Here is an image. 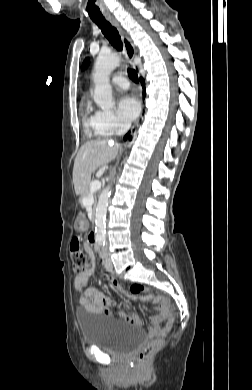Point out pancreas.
Segmentation results:
<instances>
[{
    "label": "pancreas",
    "instance_id": "obj_1",
    "mask_svg": "<svg viewBox=\"0 0 252 390\" xmlns=\"http://www.w3.org/2000/svg\"><path fill=\"white\" fill-rule=\"evenodd\" d=\"M83 197H84V195H83ZM80 205H81V206H84V205H85V202H84V201H81V202H80Z\"/></svg>",
    "mask_w": 252,
    "mask_h": 390
}]
</instances>
